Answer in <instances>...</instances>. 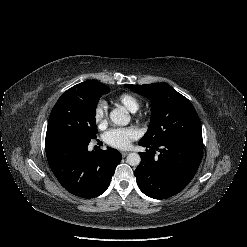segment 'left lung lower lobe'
<instances>
[{"label": "left lung lower lobe", "mask_w": 247, "mask_h": 247, "mask_svg": "<svg viewBox=\"0 0 247 247\" xmlns=\"http://www.w3.org/2000/svg\"><path fill=\"white\" fill-rule=\"evenodd\" d=\"M141 162L134 174L138 187L147 196L165 199L182 191L200 165L203 143L171 141L161 144H139Z\"/></svg>", "instance_id": "obj_1"}]
</instances>
